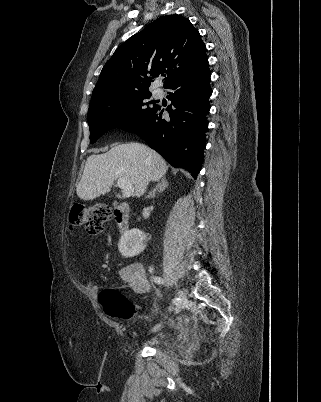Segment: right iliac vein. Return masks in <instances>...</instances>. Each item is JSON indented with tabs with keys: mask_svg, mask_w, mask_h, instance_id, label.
<instances>
[{
	"mask_svg": "<svg viewBox=\"0 0 321 402\" xmlns=\"http://www.w3.org/2000/svg\"><path fill=\"white\" fill-rule=\"evenodd\" d=\"M178 298L180 299L178 303H176V307H175V313H179L185 305L186 302V297L185 294L182 290H178ZM162 326L161 325H157L153 328V331L156 332L158 331Z\"/></svg>",
	"mask_w": 321,
	"mask_h": 402,
	"instance_id": "1",
	"label": "right iliac vein"
}]
</instances>
